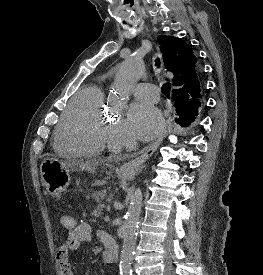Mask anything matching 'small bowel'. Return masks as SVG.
<instances>
[{"instance_id":"c3829d8e","label":"small bowel","mask_w":263,"mask_h":275,"mask_svg":"<svg viewBox=\"0 0 263 275\" xmlns=\"http://www.w3.org/2000/svg\"><path fill=\"white\" fill-rule=\"evenodd\" d=\"M92 227L86 222L75 226L66 236L64 243L60 246L56 261L59 265L61 275H74L70 263V253L76 251L82 243H89L92 240ZM102 232L99 236L103 237Z\"/></svg>"}]
</instances>
